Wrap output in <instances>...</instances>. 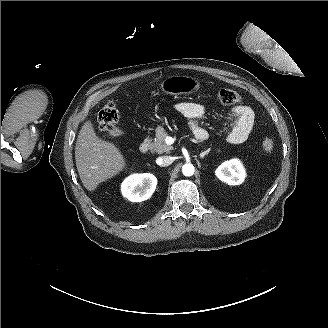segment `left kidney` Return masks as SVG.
<instances>
[{
  "instance_id": "1",
  "label": "left kidney",
  "mask_w": 328,
  "mask_h": 328,
  "mask_svg": "<svg viewBox=\"0 0 328 328\" xmlns=\"http://www.w3.org/2000/svg\"><path fill=\"white\" fill-rule=\"evenodd\" d=\"M215 175L228 185H240L245 180L246 171L239 159H231L218 166Z\"/></svg>"
}]
</instances>
